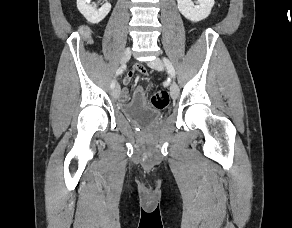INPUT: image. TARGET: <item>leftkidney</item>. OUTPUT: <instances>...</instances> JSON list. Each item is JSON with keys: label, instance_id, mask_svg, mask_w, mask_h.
Returning <instances> with one entry per match:
<instances>
[{"label": "left kidney", "instance_id": "5707ae66", "mask_svg": "<svg viewBox=\"0 0 292 228\" xmlns=\"http://www.w3.org/2000/svg\"><path fill=\"white\" fill-rule=\"evenodd\" d=\"M180 13L192 22H198L207 18L214 6V0H197L194 5L192 0H177Z\"/></svg>", "mask_w": 292, "mask_h": 228}]
</instances>
